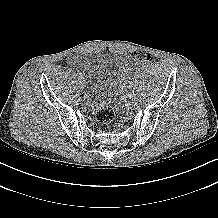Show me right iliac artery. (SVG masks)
I'll return each instance as SVG.
<instances>
[{"label": "right iliac artery", "mask_w": 218, "mask_h": 218, "mask_svg": "<svg viewBox=\"0 0 218 218\" xmlns=\"http://www.w3.org/2000/svg\"><path fill=\"white\" fill-rule=\"evenodd\" d=\"M78 79H79L80 82H81L82 76H81V75H78Z\"/></svg>", "instance_id": "right-iliac-artery-1"}]
</instances>
